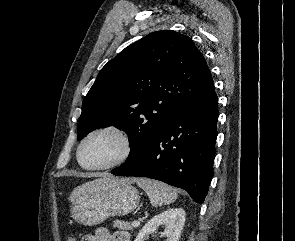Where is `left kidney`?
<instances>
[{
	"label": "left kidney",
	"instance_id": "obj_1",
	"mask_svg": "<svg viewBox=\"0 0 295 241\" xmlns=\"http://www.w3.org/2000/svg\"><path fill=\"white\" fill-rule=\"evenodd\" d=\"M185 222V211L182 208L169 209L149 220L138 233L134 241H144L159 226L165 227V241H178Z\"/></svg>",
	"mask_w": 295,
	"mask_h": 241
}]
</instances>
